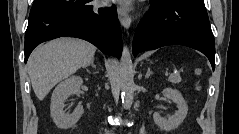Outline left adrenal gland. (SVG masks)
<instances>
[{
  "label": "left adrenal gland",
  "mask_w": 239,
  "mask_h": 134,
  "mask_svg": "<svg viewBox=\"0 0 239 134\" xmlns=\"http://www.w3.org/2000/svg\"><path fill=\"white\" fill-rule=\"evenodd\" d=\"M151 74H153V72L150 70V68H148L145 78H149Z\"/></svg>",
  "instance_id": "obj_1"
}]
</instances>
